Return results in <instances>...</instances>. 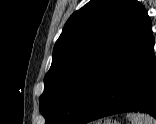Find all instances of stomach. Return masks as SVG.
<instances>
[{
  "instance_id": "stomach-1",
  "label": "stomach",
  "mask_w": 156,
  "mask_h": 124,
  "mask_svg": "<svg viewBox=\"0 0 156 124\" xmlns=\"http://www.w3.org/2000/svg\"><path fill=\"white\" fill-rule=\"evenodd\" d=\"M114 124H120V123H118V122H115Z\"/></svg>"
}]
</instances>
